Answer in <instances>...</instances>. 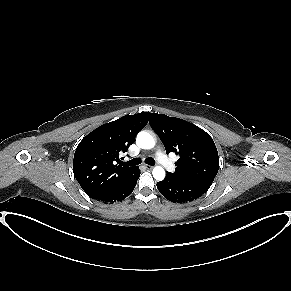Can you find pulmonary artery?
I'll return each mask as SVG.
<instances>
[{"label":"pulmonary artery","mask_w":291,"mask_h":291,"mask_svg":"<svg viewBox=\"0 0 291 291\" xmlns=\"http://www.w3.org/2000/svg\"><path fill=\"white\" fill-rule=\"evenodd\" d=\"M156 157L160 164L166 168L168 171H173L174 166L172 162L167 158V156L164 154V152L161 149H157L156 151Z\"/></svg>","instance_id":"pulmonary-artery-1"}]
</instances>
